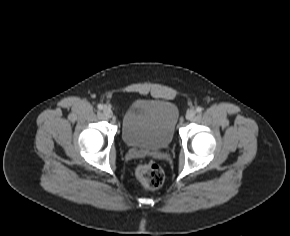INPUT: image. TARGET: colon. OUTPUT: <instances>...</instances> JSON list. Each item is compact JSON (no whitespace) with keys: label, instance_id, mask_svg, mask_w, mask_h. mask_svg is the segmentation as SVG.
<instances>
[{"label":"colon","instance_id":"5ec220e1","mask_svg":"<svg viewBox=\"0 0 290 236\" xmlns=\"http://www.w3.org/2000/svg\"><path fill=\"white\" fill-rule=\"evenodd\" d=\"M135 173L137 179L148 189H157L164 182V173L155 163L140 164Z\"/></svg>","mask_w":290,"mask_h":236}]
</instances>
